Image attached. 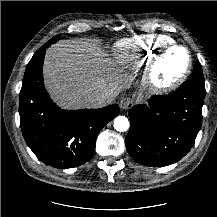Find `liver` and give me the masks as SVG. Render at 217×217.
<instances>
[{
	"mask_svg": "<svg viewBox=\"0 0 217 217\" xmlns=\"http://www.w3.org/2000/svg\"><path fill=\"white\" fill-rule=\"evenodd\" d=\"M121 72L97 45L78 39L52 45L46 51L43 68L47 91L65 109L88 108L85 98L96 92L116 97L131 83V77Z\"/></svg>",
	"mask_w": 217,
	"mask_h": 217,
	"instance_id": "liver-1",
	"label": "liver"
}]
</instances>
